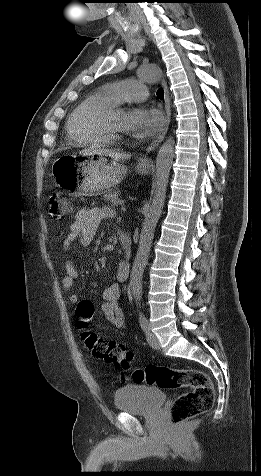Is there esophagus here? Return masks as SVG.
<instances>
[{
    "mask_svg": "<svg viewBox=\"0 0 261 476\" xmlns=\"http://www.w3.org/2000/svg\"><path fill=\"white\" fill-rule=\"evenodd\" d=\"M162 87L164 89L166 124H165V127L163 128V130L156 137V139L148 146L147 152H150V151L154 150L155 148H157L159 146V144L163 141V139H164V137L167 133L169 123H170V116H171L170 98H169V91H168V87H167V83H166L165 79L162 80ZM139 164L142 165V166H147L149 164L148 158H146V157L142 158L139 161Z\"/></svg>",
    "mask_w": 261,
    "mask_h": 476,
    "instance_id": "esophagus-1",
    "label": "esophagus"
}]
</instances>
